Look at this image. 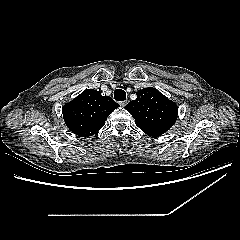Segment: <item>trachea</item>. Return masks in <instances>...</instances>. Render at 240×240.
Returning a JSON list of instances; mask_svg holds the SVG:
<instances>
[{
  "mask_svg": "<svg viewBox=\"0 0 240 240\" xmlns=\"http://www.w3.org/2000/svg\"><path fill=\"white\" fill-rule=\"evenodd\" d=\"M114 98L117 101H124L126 100V92L122 89H116L114 91Z\"/></svg>",
  "mask_w": 240,
  "mask_h": 240,
  "instance_id": "3493384b",
  "label": "trachea"
}]
</instances>
